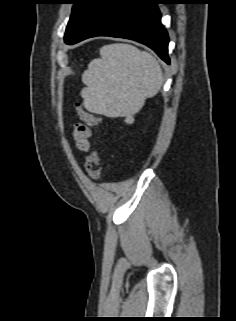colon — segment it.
Instances as JSON below:
<instances>
[{"mask_svg":"<svg viewBox=\"0 0 236 321\" xmlns=\"http://www.w3.org/2000/svg\"><path fill=\"white\" fill-rule=\"evenodd\" d=\"M77 113L80 119L90 126H99L101 123V117L96 114H93L81 108H77ZM85 170L88 176L93 180H98L100 178L101 164L97 146L93 148V150L87 157V160L85 162Z\"/></svg>","mask_w":236,"mask_h":321,"instance_id":"obj_1","label":"colon"}]
</instances>
